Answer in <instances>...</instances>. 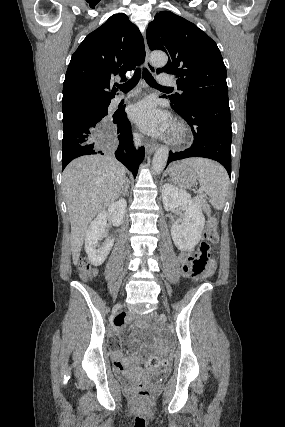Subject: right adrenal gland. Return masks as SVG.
<instances>
[{
    "instance_id": "obj_1",
    "label": "right adrenal gland",
    "mask_w": 285,
    "mask_h": 427,
    "mask_svg": "<svg viewBox=\"0 0 285 427\" xmlns=\"http://www.w3.org/2000/svg\"><path fill=\"white\" fill-rule=\"evenodd\" d=\"M128 185L126 184V186H125V188L120 192V196L122 195V196H128L129 195V192H128Z\"/></svg>"
}]
</instances>
